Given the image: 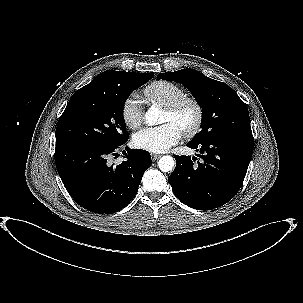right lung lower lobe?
<instances>
[{
  "mask_svg": "<svg viewBox=\"0 0 303 303\" xmlns=\"http://www.w3.org/2000/svg\"><path fill=\"white\" fill-rule=\"evenodd\" d=\"M125 142L103 147L86 144L56 147L58 173L77 204L108 214L121 210L134 198L143 173L151 165V157L145 150L126 147V161L111 165L109 158Z\"/></svg>",
  "mask_w": 303,
  "mask_h": 303,
  "instance_id": "98d812e1",
  "label": "right lung lower lobe"
}]
</instances>
